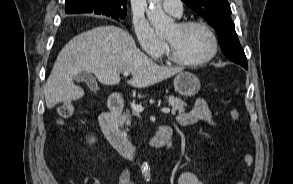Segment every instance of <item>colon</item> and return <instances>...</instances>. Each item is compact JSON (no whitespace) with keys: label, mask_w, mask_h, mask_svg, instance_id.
Instances as JSON below:
<instances>
[{"label":"colon","mask_w":293,"mask_h":184,"mask_svg":"<svg viewBox=\"0 0 293 184\" xmlns=\"http://www.w3.org/2000/svg\"><path fill=\"white\" fill-rule=\"evenodd\" d=\"M58 114L61 120L68 119L73 114V106L69 102H64L58 108ZM230 117L233 120H238L240 114L237 110L232 109L230 111ZM244 164L249 167L253 163V157L250 154H245L243 157ZM236 184H247L245 180L236 182Z\"/></svg>","instance_id":"colon-1"}]
</instances>
